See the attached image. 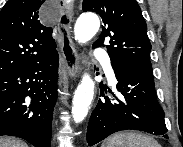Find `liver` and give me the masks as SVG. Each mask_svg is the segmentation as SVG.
I'll return each instance as SVG.
<instances>
[{
  "instance_id": "1",
  "label": "liver",
  "mask_w": 183,
  "mask_h": 147,
  "mask_svg": "<svg viewBox=\"0 0 183 147\" xmlns=\"http://www.w3.org/2000/svg\"><path fill=\"white\" fill-rule=\"evenodd\" d=\"M0 147H27V144L14 138L0 137Z\"/></svg>"
}]
</instances>
